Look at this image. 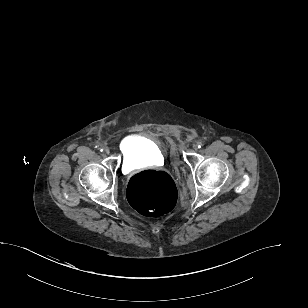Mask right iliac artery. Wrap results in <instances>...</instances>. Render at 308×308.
<instances>
[{
	"instance_id": "obj_1",
	"label": "right iliac artery",
	"mask_w": 308,
	"mask_h": 308,
	"mask_svg": "<svg viewBox=\"0 0 308 308\" xmlns=\"http://www.w3.org/2000/svg\"><path fill=\"white\" fill-rule=\"evenodd\" d=\"M96 148H98V150H99L100 152H102V151L104 150L103 146H96Z\"/></svg>"
}]
</instances>
